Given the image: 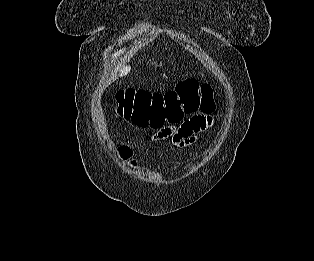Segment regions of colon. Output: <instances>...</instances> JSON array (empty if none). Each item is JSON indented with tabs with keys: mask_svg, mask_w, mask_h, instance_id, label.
<instances>
[{
	"mask_svg": "<svg viewBox=\"0 0 314 261\" xmlns=\"http://www.w3.org/2000/svg\"><path fill=\"white\" fill-rule=\"evenodd\" d=\"M120 116L139 127L162 129L169 120H183L186 115L213 108L211 89L194 79L180 82L175 90L165 93L142 89L120 90L116 94ZM120 152L126 158L131 154L123 146Z\"/></svg>",
	"mask_w": 314,
	"mask_h": 261,
	"instance_id": "colon-1",
	"label": "colon"
}]
</instances>
